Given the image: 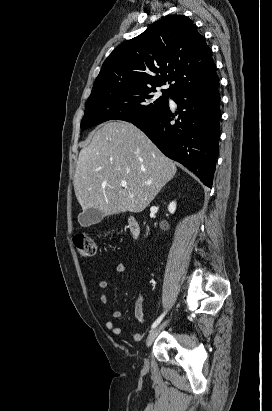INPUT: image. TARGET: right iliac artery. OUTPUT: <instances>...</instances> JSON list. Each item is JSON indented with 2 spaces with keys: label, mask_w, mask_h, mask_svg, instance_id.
Here are the masks:
<instances>
[{
  "label": "right iliac artery",
  "mask_w": 272,
  "mask_h": 411,
  "mask_svg": "<svg viewBox=\"0 0 272 411\" xmlns=\"http://www.w3.org/2000/svg\"><path fill=\"white\" fill-rule=\"evenodd\" d=\"M165 316V313H163L151 326V329H154L163 319V317Z\"/></svg>",
  "instance_id": "82829eb1"
}]
</instances>
